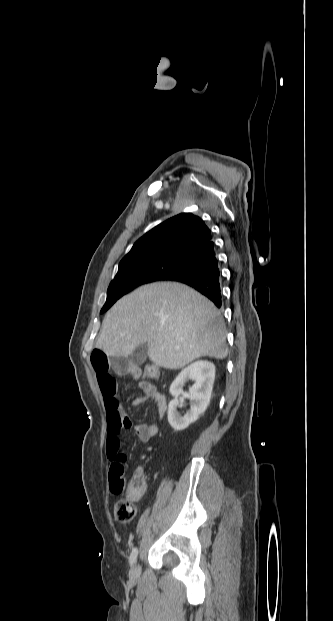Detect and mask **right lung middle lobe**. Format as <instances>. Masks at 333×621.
Segmentation results:
<instances>
[{
  "mask_svg": "<svg viewBox=\"0 0 333 621\" xmlns=\"http://www.w3.org/2000/svg\"><path fill=\"white\" fill-rule=\"evenodd\" d=\"M185 258L163 257L120 263L107 290V300L100 313L107 311L120 297L134 288L159 280L176 270Z\"/></svg>",
  "mask_w": 333,
  "mask_h": 621,
  "instance_id": "right-lung-middle-lobe-1",
  "label": "right lung middle lobe"
}]
</instances>
